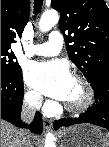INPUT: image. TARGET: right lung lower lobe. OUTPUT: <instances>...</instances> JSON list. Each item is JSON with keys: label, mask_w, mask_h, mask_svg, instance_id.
<instances>
[{"label": "right lung lower lobe", "mask_w": 109, "mask_h": 147, "mask_svg": "<svg viewBox=\"0 0 109 147\" xmlns=\"http://www.w3.org/2000/svg\"><path fill=\"white\" fill-rule=\"evenodd\" d=\"M24 85L21 73L11 76L1 74V119L18 127H26L20 119ZM29 128L36 134H41L43 129L42 116L36 113L35 119Z\"/></svg>", "instance_id": "1"}]
</instances>
